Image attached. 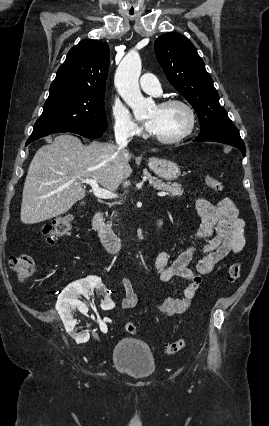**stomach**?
<instances>
[{"label":"stomach","instance_id":"0dacf381","mask_svg":"<svg viewBox=\"0 0 269 426\" xmlns=\"http://www.w3.org/2000/svg\"><path fill=\"white\" fill-rule=\"evenodd\" d=\"M148 166L157 176L168 181L176 180L181 174L179 166L166 159L151 158Z\"/></svg>","mask_w":269,"mask_h":426}]
</instances>
